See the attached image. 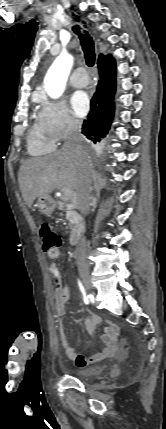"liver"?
I'll use <instances>...</instances> for the list:
<instances>
[{"instance_id": "1", "label": "liver", "mask_w": 166, "mask_h": 429, "mask_svg": "<svg viewBox=\"0 0 166 429\" xmlns=\"http://www.w3.org/2000/svg\"><path fill=\"white\" fill-rule=\"evenodd\" d=\"M80 167L81 159L64 148L47 156L26 160L18 173L26 205L31 208L37 197L49 195L55 188L77 191Z\"/></svg>"}]
</instances>
